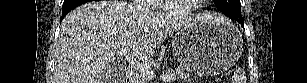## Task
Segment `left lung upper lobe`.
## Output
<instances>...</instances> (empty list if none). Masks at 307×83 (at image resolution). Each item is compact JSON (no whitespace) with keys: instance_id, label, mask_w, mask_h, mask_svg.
I'll list each match as a JSON object with an SVG mask.
<instances>
[{"instance_id":"left-lung-upper-lobe-1","label":"left lung upper lobe","mask_w":307,"mask_h":83,"mask_svg":"<svg viewBox=\"0 0 307 83\" xmlns=\"http://www.w3.org/2000/svg\"><path fill=\"white\" fill-rule=\"evenodd\" d=\"M215 6L230 18H241L240 0H213Z\"/></svg>"}]
</instances>
